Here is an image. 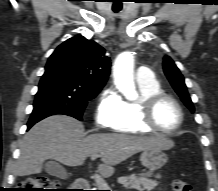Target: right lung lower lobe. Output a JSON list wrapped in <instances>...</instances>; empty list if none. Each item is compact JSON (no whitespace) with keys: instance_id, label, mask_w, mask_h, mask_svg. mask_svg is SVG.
I'll return each mask as SVG.
<instances>
[{"instance_id":"1","label":"right lung lower lobe","mask_w":218,"mask_h":191,"mask_svg":"<svg viewBox=\"0 0 218 191\" xmlns=\"http://www.w3.org/2000/svg\"><path fill=\"white\" fill-rule=\"evenodd\" d=\"M54 114H65V112H61L59 110H56L55 108H50V107H43V108H39L36 111H33L32 115L28 121V124H27L28 129H30L38 121H40V120H42L50 115H54ZM81 119L82 118L79 117V120H81Z\"/></svg>"}]
</instances>
